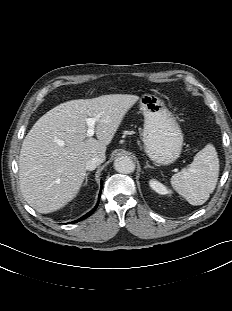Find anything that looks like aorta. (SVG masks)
I'll return each mask as SVG.
<instances>
[{
  "instance_id": "762f6f07",
  "label": "aorta",
  "mask_w": 232,
  "mask_h": 311,
  "mask_svg": "<svg viewBox=\"0 0 232 311\" xmlns=\"http://www.w3.org/2000/svg\"><path fill=\"white\" fill-rule=\"evenodd\" d=\"M114 168L122 174H129L135 170V164L128 156H120L114 161Z\"/></svg>"
}]
</instances>
